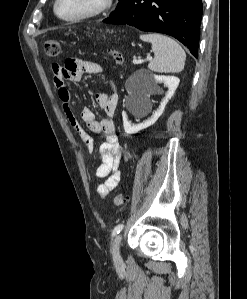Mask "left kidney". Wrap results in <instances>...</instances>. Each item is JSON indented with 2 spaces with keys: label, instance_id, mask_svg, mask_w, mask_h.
I'll list each match as a JSON object with an SVG mask.
<instances>
[{
  "label": "left kidney",
  "instance_id": "5707ae66",
  "mask_svg": "<svg viewBox=\"0 0 247 299\" xmlns=\"http://www.w3.org/2000/svg\"><path fill=\"white\" fill-rule=\"evenodd\" d=\"M148 88L144 93L136 94L133 96V104L130 108L131 112L136 116H141L148 110L149 107V97L151 94L155 93L158 89V85L164 83L168 86V91L165 93V97L162 99L157 110L152 114L150 118L142 123L134 124L128 120L127 115H123V126L126 134H135L140 130H143L151 125H153L158 118L162 115L166 104L169 99L175 93L179 85V78L175 76H165V75H154L148 78Z\"/></svg>",
  "mask_w": 247,
  "mask_h": 299
}]
</instances>
